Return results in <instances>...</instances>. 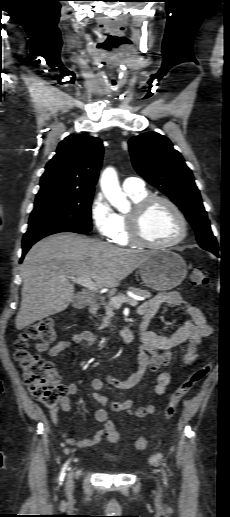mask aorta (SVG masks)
<instances>
[{"instance_id": "762f6f07", "label": "aorta", "mask_w": 230, "mask_h": 517, "mask_svg": "<svg viewBox=\"0 0 230 517\" xmlns=\"http://www.w3.org/2000/svg\"><path fill=\"white\" fill-rule=\"evenodd\" d=\"M100 186L107 200L118 210L123 211L128 206L125 194L119 185L117 172L114 168H106L100 179Z\"/></svg>"}]
</instances>
